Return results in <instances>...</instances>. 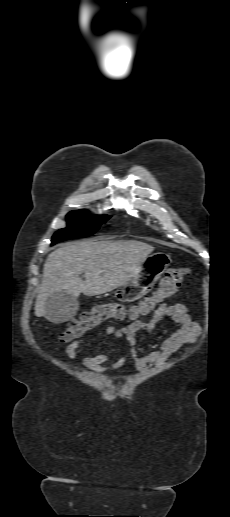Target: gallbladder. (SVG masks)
<instances>
[{"mask_svg":"<svg viewBox=\"0 0 230 517\" xmlns=\"http://www.w3.org/2000/svg\"><path fill=\"white\" fill-rule=\"evenodd\" d=\"M79 303L76 298L66 291L51 294L46 300V318L52 322H65L74 317L78 311Z\"/></svg>","mask_w":230,"mask_h":517,"instance_id":"gallbladder-1","label":"gallbladder"}]
</instances>
